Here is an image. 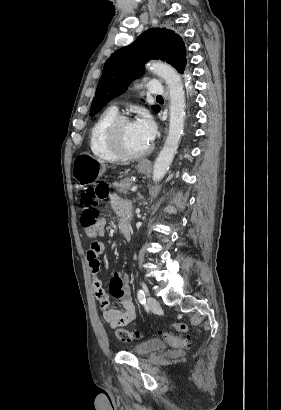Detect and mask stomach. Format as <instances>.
Masks as SVG:
<instances>
[{
    "mask_svg": "<svg viewBox=\"0 0 281 410\" xmlns=\"http://www.w3.org/2000/svg\"><path fill=\"white\" fill-rule=\"evenodd\" d=\"M137 169L140 173H145L148 170L142 163L137 166ZM105 171L104 161L85 153L77 156L72 165V176L81 188L94 184Z\"/></svg>",
    "mask_w": 281,
    "mask_h": 410,
    "instance_id": "0dacf381",
    "label": "stomach"
}]
</instances>
